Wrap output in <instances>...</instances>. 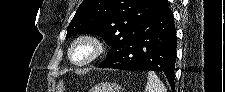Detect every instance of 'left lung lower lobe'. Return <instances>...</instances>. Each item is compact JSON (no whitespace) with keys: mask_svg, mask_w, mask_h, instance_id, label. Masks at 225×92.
Wrapping results in <instances>:
<instances>
[{"mask_svg":"<svg viewBox=\"0 0 225 92\" xmlns=\"http://www.w3.org/2000/svg\"><path fill=\"white\" fill-rule=\"evenodd\" d=\"M175 61L176 29L173 13L166 3L137 29L133 38L119 51L104 60L99 68L161 71L174 89Z\"/></svg>","mask_w":225,"mask_h":92,"instance_id":"left-lung-lower-lobe-1","label":"left lung lower lobe"}]
</instances>
